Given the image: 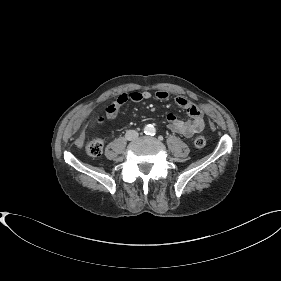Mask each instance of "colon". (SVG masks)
<instances>
[{
    "label": "colon",
    "instance_id": "5ec220e1",
    "mask_svg": "<svg viewBox=\"0 0 281 281\" xmlns=\"http://www.w3.org/2000/svg\"><path fill=\"white\" fill-rule=\"evenodd\" d=\"M205 144H206V139L204 136L199 135L194 139V145L197 148H203ZM86 152L88 155L92 157L100 156L103 152V141L101 139H94L89 141L86 144Z\"/></svg>",
    "mask_w": 281,
    "mask_h": 281
}]
</instances>
